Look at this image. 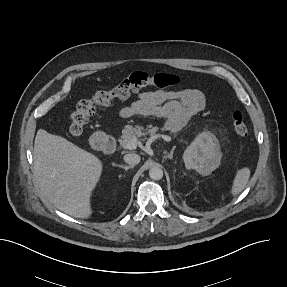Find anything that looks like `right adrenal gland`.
<instances>
[{
	"mask_svg": "<svg viewBox=\"0 0 287 287\" xmlns=\"http://www.w3.org/2000/svg\"><path fill=\"white\" fill-rule=\"evenodd\" d=\"M115 166L123 168L125 171L129 170L130 168H133V166H127V165H115Z\"/></svg>",
	"mask_w": 287,
	"mask_h": 287,
	"instance_id": "right-adrenal-gland-1",
	"label": "right adrenal gland"
}]
</instances>
